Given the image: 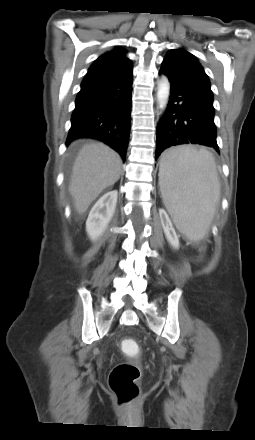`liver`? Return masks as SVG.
Instances as JSON below:
<instances>
[{
    "label": "liver",
    "mask_w": 255,
    "mask_h": 440,
    "mask_svg": "<svg viewBox=\"0 0 255 440\" xmlns=\"http://www.w3.org/2000/svg\"><path fill=\"white\" fill-rule=\"evenodd\" d=\"M122 160L118 153L99 142L83 145L72 169L69 192L79 214L109 186L114 185L121 174Z\"/></svg>",
    "instance_id": "1"
}]
</instances>
